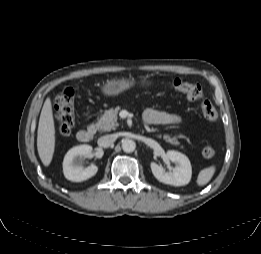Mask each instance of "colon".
Masks as SVG:
<instances>
[{"label":"colon","mask_w":261,"mask_h":254,"mask_svg":"<svg viewBox=\"0 0 261 254\" xmlns=\"http://www.w3.org/2000/svg\"><path fill=\"white\" fill-rule=\"evenodd\" d=\"M173 88L179 93H183L191 101H197L200 105L203 116L212 122L219 120V114L213 104L204 98L202 87L195 82L183 81L175 79ZM74 90L73 88H65L60 92L54 101L55 122L60 134L69 135L74 126V110H73ZM216 151L212 146H206L202 150L205 158H212Z\"/></svg>","instance_id":"obj_1"}]
</instances>
